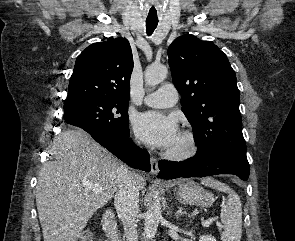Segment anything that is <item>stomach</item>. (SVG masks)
<instances>
[{
  "label": "stomach",
  "mask_w": 295,
  "mask_h": 241,
  "mask_svg": "<svg viewBox=\"0 0 295 241\" xmlns=\"http://www.w3.org/2000/svg\"><path fill=\"white\" fill-rule=\"evenodd\" d=\"M173 193L183 204L210 206L214 197L192 180H179L172 184Z\"/></svg>",
  "instance_id": "0dacf381"
}]
</instances>
